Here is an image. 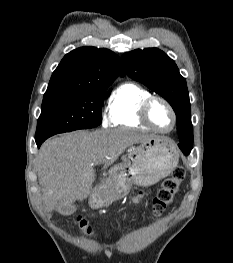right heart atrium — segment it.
<instances>
[{
	"instance_id": "1",
	"label": "right heart atrium",
	"mask_w": 233,
	"mask_h": 263,
	"mask_svg": "<svg viewBox=\"0 0 233 263\" xmlns=\"http://www.w3.org/2000/svg\"><path fill=\"white\" fill-rule=\"evenodd\" d=\"M102 124L103 126H106L107 124H109V118L106 114H103L102 116Z\"/></svg>"
}]
</instances>
